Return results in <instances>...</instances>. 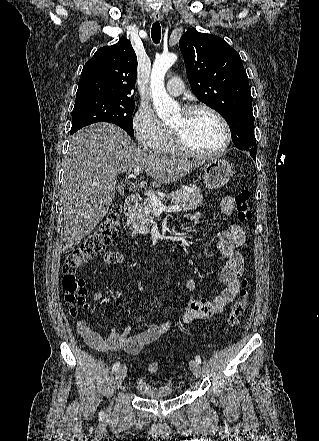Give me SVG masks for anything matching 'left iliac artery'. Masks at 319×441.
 <instances>
[{"mask_svg": "<svg viewBox=\"0 0 319 441\" xmlns=\"http://www.w3.org/2000/svg\"><path fill=\"white\" fill-rule=\"evenodd\" d=\"M195 361L198 363V364H201V358H200V356H196L195 357Z\"/></svg>", "mask_w": 319, "mask_h": 441, "instance_id": "obj_1", "label": "left iliac artery"}]
</instances>
